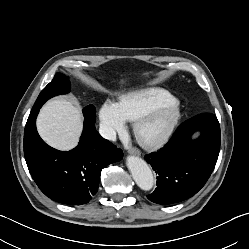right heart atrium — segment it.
Wrapping results in <instances>:
<instances>
[{
  "label": "right heart atrium",
  "mask_w": 249,
  "mask_h": 249,
  "mask_svg": "<svg viewBox=\"0 0 249 249\" xmlns=\"http://www.w3.org/2000/svg\"><path fill=\"white\" fill-rule=\"evenodd\" d=\"M100 127L103 135L107 139H114L117 134L122 133L128 120L120 111L119 105L113 101H106L99 112Z\"/></svg>",
  "instance_id": "1"
}]
</instances>
